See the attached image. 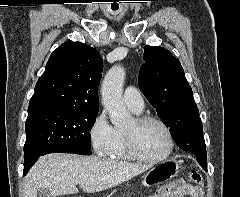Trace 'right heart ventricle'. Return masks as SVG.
<instances>
[{
  "label": "right heart ventricle",
  "mask_w": 240,
  "mask_h": 197,
  "mask_svg": "<svg viewBox=\"0 0 240 197\" xmlns=\"http://www.w3.org/2000/svg\"><path fill=\"white\" fill-rule=\"evenodd\" d=\"M135 113H140V112H135ZM115 131H116V140H115L113 150L109 155V157L113 160H120V161L135 160V158L130 154V152L127 149L124 130L115 128Z\"/></svg>",
  "instance_id": "right-heart-ventricle-1"
}]
</instances>
